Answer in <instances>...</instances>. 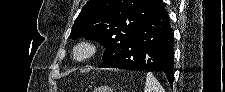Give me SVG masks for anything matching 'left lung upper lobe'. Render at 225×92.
Here are the masks:
<instances>
[{
	"label": "left lung upper lobe",
	"instance_id": "left-lung-upper-lobe-1",
	"mask_svg": "<svg viewBox=\"0 0 225 92\" xmlns=\"http://www.w3.org/2000/svg\"><path fill=\"white\" fill-rule=\"evenodd\" d=\"M163 7V0H89L77 17L69 38L85 37L99 42L106 48L105 61Z\"/></svg>",
	"mask_w": 225,
	"mask_h": 92
}]
</instances>
